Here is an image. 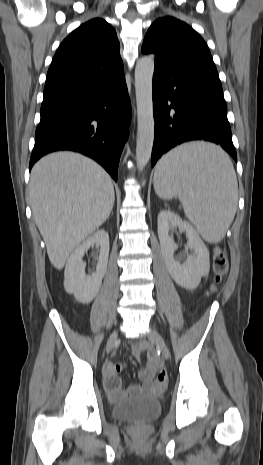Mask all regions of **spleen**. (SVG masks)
I'll list each match as a JSON object with an SVG mask.
<instances>
[{
  "label": "spleen",
  "instance_id": "obj_1",
  "mask_svg": "<svg viewBox=\"0 0 263 465\" xmlns=\"http://www.w3.org/2000/svg\"><path fill=\"white\" fill-rule=\"evenodd\" d=\"M156 194L179 197L185 215L210 243L221 241L232 223L238 183L228 155L204 142L181 145L164 155L154 173Z\"/></svg>",
  "mask_w": 263,
  "mask_h": 465
}]
</instances>
